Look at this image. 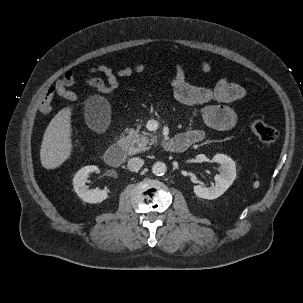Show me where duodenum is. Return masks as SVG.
<instances>
[{"instance_id":"obj_1","label":"duodenum","mask_w":303,"mask_h":303,"mask_svg":"<svg viewBox=\"0 0 303 303\" xmlns=\"http://www.w3.org/2000/svg\"><path fill=\"white\" fill-rule=\"evenodd\" d=\"M192 145V141L183 135L169 138L163 143V148L168 152L180 153ZM126 149L121 143L112 144L105 152V161L108 165L117 167L124 161Z\"/></svg>"}]
</instances>
